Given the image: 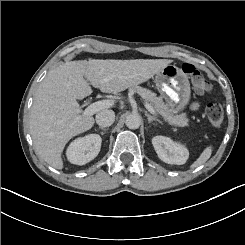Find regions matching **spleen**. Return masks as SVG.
<instances>
[{
  "label": "spleen",
  "instance_id": "3e777b00",
  "mask_svg": "<svg viewBox=\"0 0 245 245\" xmlns=\"http://www.w3.org/2000/svg\"><path fill=\"white\" fill-rule=\"evenodd\" d=\"M212 148L207 147L199 156V158L191 165V168H196L204 164L211 156Z\"/></svg>",
  "mask_w": 245,
  "mask_h": 245
}]
</instances>
